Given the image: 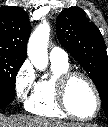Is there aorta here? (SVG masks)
Returning <instances> with one entry per match:
<instances>
[{"label": "aorta", "instance_id": "762f6f07", "mask_svg": "<svg viewBox=\"0 0 108 127\" xmlns=\"http://www.w3.org/2000/svg\"><path fill=\"white\" fill-rule=\"evenodd\" d=\"M50 26L44 22L32 32L27 46V55L32 65L40 71L48 65V42Z\"/></svg>", "mask_w": 108, "mask_h": 127}]
</instances>
